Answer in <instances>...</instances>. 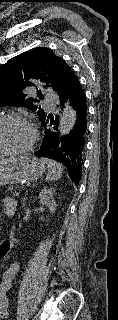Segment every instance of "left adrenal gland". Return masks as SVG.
Masks as SVG:
<instances>
[{"mask_svg":"<svg viewBox=\"0 0 118 320\" xmlns=\"http://www.w3.org/2000/svg\"><path fill=\"white\" fill-rule=\"evenodd\" d=\"M26 195H27V192H26V194H25V197L23 198V205L25 204Z\"/></svg>","mask_w":118,"mask_h":320,"instance_id":"obj_1","label":"left adrenal gland"}]
</instances>
